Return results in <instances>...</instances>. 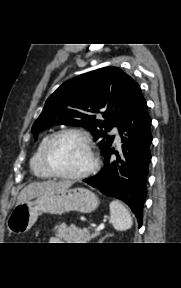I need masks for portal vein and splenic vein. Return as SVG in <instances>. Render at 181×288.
<instances>
[{
	"instance_id": "obj_1",
	"label": "portal vein and splenic vein",
	"mask_w": 181,
	"mask_h": 288,
	"mask_svg": "<svg viewBox=\"0 0 181 288\" xmlns=\"http://www.w3.org/2000/svg\"><path fill=\"white\" fill-rule=\"evenodd\" d=\"M104 229V224H101L99 227L96 228V232H99Z\"/></svg>"
}]
</instances>
